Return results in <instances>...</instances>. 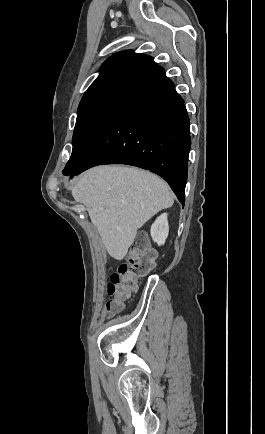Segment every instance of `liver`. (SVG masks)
<instances>
[{"label":"liver","mask_w":265,"mask_h":434,"mask_svg":"<svg viewBox=\"0 0 265 434\" xmlns=\"http://www.w3.org/2000/svg\"><path fill=\"white\" fill-rule=\"evenodd\" d=\"M71 190L114 260L125 258L147 220L174 204L166 182L137 168L98 166L80 176Z\"/></svg>","instance_id":"obj_1"}]
</instances>
